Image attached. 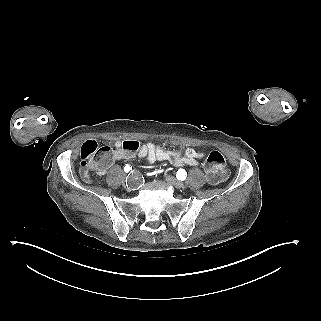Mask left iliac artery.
Here are the masks:
<instances>
[{
	"mask_svg": "<svg viewBox=\"0 0 321 321\" xmlns=\"http://www.w3.org/2000/svg\"><path fill=\"white\" fill-rule=\"evenodd\" d=\"M176 177L179 179V180H185L186 177H187V172L183 169H179L177 174H176Z\"/></svg>",
	"mask_w": 321,
	"mask_h": 321,
	"instance_id": "obj_1",
	"label": "left iliac artery"
}]
</instances>
